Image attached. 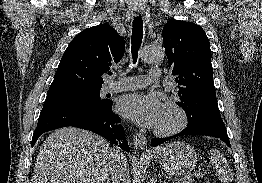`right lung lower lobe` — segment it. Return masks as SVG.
Listing matches in <instances>:
<instances>
[{
  "mask_svg": "<svg viewBox=\"0 0 262 183\" xmlns=\"http://www.w3.org/2000/svg\"><path fill=\"white\" fill-rule=\"evenodd\" d=\"M113 102L88 104L76 101L46 100L32 138V147L39 136L47 131L75 126L95 132L129 152L120 118L112 111Z\"/></svg>",
  "mask_w": 262,
  "mask_h": 183,
  "instance_id": "98d812e1",
  "label": "right lung lower lobe"
}]
</instances>
